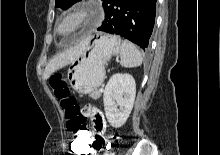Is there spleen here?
Instances as JSON below:
<instances>
[{
    "instance_id": "3e777b00",
    "label": "spleen",
    "mask_w": 220,
    "mask_h": 155,
    "mask_svg": "<svg viewBox=\"0 0 220 155\" xmlns=\"http://www.w3.org/2000/svg\"><path fill=\"white\" fill-rule=\"evenodd\" d=\"M120 64L125 68H133L142 64V56L136 46L128 40L122 41Z\"/></svg>"
}]
</instances>
